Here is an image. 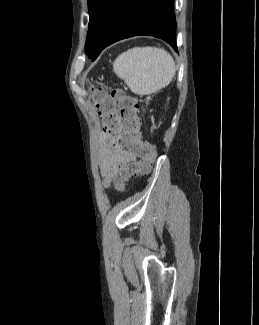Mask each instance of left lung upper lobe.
I'll return each instance as SVG.
<instances>
[{
    "mask_svg": "<svg viewBox=\"0 0 259 325\" xmlns=\"http://www.w3.org/2000/svg\"><path fill=\"white\" fill-rule=\"evenodd\" d=\"M123 0H88L89 30L86 53L93 61L102 51V43L108 24Z\"/></svg>",
    "mask_w": 259,
    "mask_h": 325,
    "instance_id": "5c2ea615",
    "label": "left lung upper lobe"
}]
</instances>
